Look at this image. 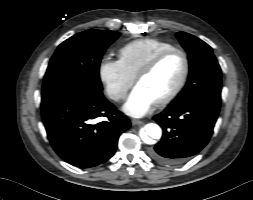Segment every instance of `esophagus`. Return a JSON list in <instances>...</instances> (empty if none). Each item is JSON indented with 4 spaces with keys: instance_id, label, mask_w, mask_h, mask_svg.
<instances>
[{
    "instance_id": "esophagus-1",
    "label": "esophagus",
    "mask_w": 253,
    "mask_h": 200,
    "mask_svg": "<svg viewBox=\"0 0 253 200\" xmlns=\"http://www.w3.org/2000/svg\"><path fill=\"white\" fill-rule=\"evenodd\" d=\"M131 122L132 125H142L144 123L143 121L137 119H133Z\"/></svg>"
}]
</instances>
